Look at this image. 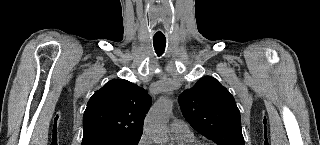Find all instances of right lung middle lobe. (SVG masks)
I'll return each mask as SVG.
<instances>
[{"instance_id":"obj_1","label":"right lung middle lobe","mask_w":320,"mask_h":145,"mask_svg":"<svg viewBox=\"0 0 320 145\" xmlns=\"http://www.w3.org/2000/svg\"><path fill=\"white\" fill-rule=\"evenodd\" d=\"M139 136H101L86 141L82 145H138Z\"/></svg>"}]
</instances>
